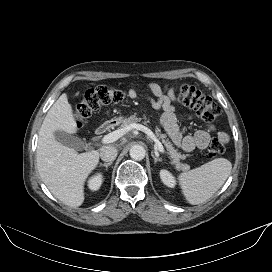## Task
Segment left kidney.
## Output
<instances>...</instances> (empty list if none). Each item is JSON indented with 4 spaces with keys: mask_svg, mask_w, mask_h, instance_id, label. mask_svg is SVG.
<instances>
[{
    "mask_svg": "<svg viewBox=\"0 0 272 272\" xmlns=\"http://www.w3.org/2000/svg\"><path fill=\"white\" fill-rule=\"evenodd\" d=\"M160 178H161L162 182L166 186H168L170 188H174L175 187L176 180H175L174 176L168 170L162 169L160 171Z\"/></svg>",
    "mask_w": 272,
    "mask_h": 272,
    "instance_id": "1",
    "label": "left kidney"
}]
</instances>
